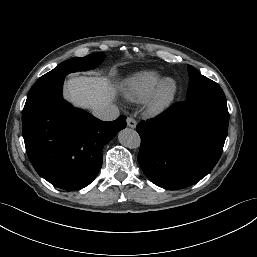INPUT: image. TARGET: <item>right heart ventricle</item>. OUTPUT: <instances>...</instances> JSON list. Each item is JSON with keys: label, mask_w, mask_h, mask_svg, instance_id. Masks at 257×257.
I'll use <instances>...</instances> for the list:
<instances>
[{"label": "right heart ventricle", "mask_w": 257, "mask_h": 257, "mask_svg": "<svg viewBox=\"0 0 257 257\" xmlns=\"http://www.w3.org/2000/svg\"><path fill=\"white\" fill-rule=\"evenodd\" d=\"M162 80V75L157 71L148 70L136 73L126 80L124 95L130 101L143 102L152 96Z\"/></svg>", "instance_id": "obj_1"}]
</instances>
